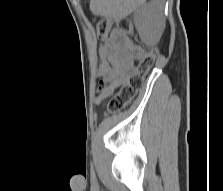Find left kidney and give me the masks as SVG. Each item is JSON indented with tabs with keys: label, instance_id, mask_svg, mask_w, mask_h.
I'll return each instance as SVG.
<instances>
[{
	"label": "left kidney",
	"instance_id": "5707ae66",
	"mask_svg": "<svg viewBox=\"0 0 223 191\" xmlns=\"http://www.w3.org/2000/svg\"><path fill=\"white\" fill-rule=\"evenodd\" d=\"M136 28L142 41L147 45H155L164 30V3L155 0L145 4L135 17Z\"/></svg>",
	"mask_w": 223,
	"mask_h": 191
}]
</instances>
